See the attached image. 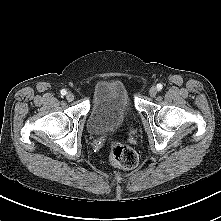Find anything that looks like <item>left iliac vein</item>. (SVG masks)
<instances>
[{
    "label": "left iliac vein",
    "mask_w": 221,
    "mask_h": 221,
    "mask_svg": "<svg viewBox=\"0 0 221 221\" xmlns=\"http://www.w3.org/2000/svg\"><path fill=\"white\" fill-rule=\"evenodd\" d=\"M157 93H158L157 88H156L155 86H152V87L150 88V90H149V95H150L151 97H155V96L157 95Z\"/></svg>",
    "instance_id": "1"
}]
</instances>
